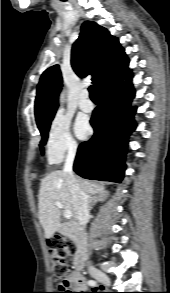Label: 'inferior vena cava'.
<instances>
[{
    "mask_svg": "<svg viewBox=\"0 0 170 293\" xmlns=\"http://www.w3.org/2000/svg\"><path fill=\"white\" fill-rule=\"evenodd\" d=\"M76 151L77 146L73 145L69 147L63 171L66 174L67 183L72 194L76 218L79 224L85 227L89 217V199L88 195L79 186L73 174V163L75 160Z\"/></svg>",
    "mask_w": 170,
    "mask_h": 293,
    "instance_id": "602c4592",
    "label": "inferior vena cava"
}]
</instances>
